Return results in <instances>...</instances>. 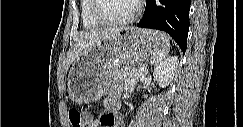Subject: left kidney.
<instances>
[{
	"mask_svg": "<svg viewBox=\"0 0 243 127\" xmlns=\"http://www.w3.org/2000/svg\"><path fill=\"white\" fill-rule=\"evenodd\" d=\"M178 62L177 56H172L155 68L153 76L160 87L164 88L172 81L178 67ZM144 97H147V95Z\"/></svg>",
	"mask_w": 243,
	"mask_h": 127,
	"instance_id": "5707ae66",
	"label": "left kidney"
}]
</instances>
